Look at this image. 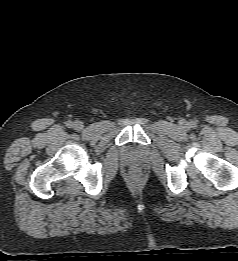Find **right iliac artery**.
<instances>
[{"label":"right iliac artery","mask_w":238,"mask_h":261,"mask_svg":"<svg viewBox=\"0 0 238 261\" xmlns=\"http://www.w3.org/2000/svg\"><path fill=\"white\" fill-rule=\"evenodd\" d=\"M66 126L69 127V128L73 127V122L72 121H67L66 122Z\"/></svg>","instance_id":"82829eb1"}]
</instances>
